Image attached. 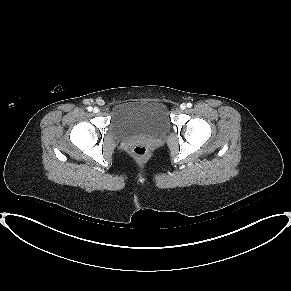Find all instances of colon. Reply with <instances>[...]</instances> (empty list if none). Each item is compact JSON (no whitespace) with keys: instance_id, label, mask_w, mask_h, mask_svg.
<instances>
[{"instance_id":"1","label":"colon","mask_w":291,"mask_h":291,"mask_svg":"<svg viewBox=\"0 0 291 291\" xmlns=\"http://www.w3.org/2000/svg\"><path fill=\"white\" fill-rule=\"evenodd\" d=\"M148 154V148L143 144H138L131 150V156L137 161L145 160Z\"/></svg>"}]
</instances>
